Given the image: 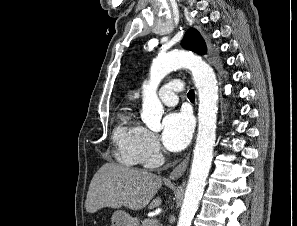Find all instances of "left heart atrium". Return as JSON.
<instances>
[{
    "label": "left heart atrium",
    "mask_w": 297,
    "mask_h": 226,
    "mask_svg": "<svg viewBox=\"0 0 297 226\" xmlns=\"http://www.w3.org/2000/svg\"><path fill=\"white\" fill-rule=\"evenodd\" d=\"M192 130V121L187 113L168 114L163 120L162 141L164 146L173 152L181 151L189 143Z\"/></svg>",
    "instance_id": "1"
}]
</instances>
